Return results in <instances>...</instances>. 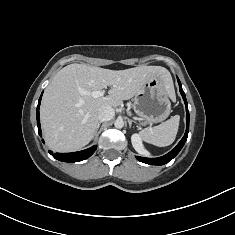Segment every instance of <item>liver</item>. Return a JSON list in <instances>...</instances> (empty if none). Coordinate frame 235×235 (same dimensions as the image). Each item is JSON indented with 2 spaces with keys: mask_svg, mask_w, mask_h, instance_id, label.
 <instances>
[{
  "mask_svg": "<svg viewBox=\"0 0 235 235\" xmlns=\"http://www.w3.org/2000/svg\"><path fill=\"white\" fill-rule=\"evenodd\" d=\"M155 76L163 80L170 97H173L171 75L161 66L125 70L77 63L65 66L54 76L42 99L40 117L47 145L56 152H71L86 146L96 132L100 108L121 105ZM108 86L111 88L107 96H92V92Z\"/></svg>",
  "mask_w": 235,
  "mask_h": 235,
  "instance_id": "6515ba94",
  "label": "liver"
}]
</instances>
